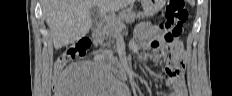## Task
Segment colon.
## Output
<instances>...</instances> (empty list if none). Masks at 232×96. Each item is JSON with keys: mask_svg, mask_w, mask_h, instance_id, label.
<instances>
[{"mask_svg": "<svg viewBox=\"0 0 232 96\" xmlns=\"http://www.w3.org/2000/svg\"><path fill=\"white\" fill-rule=\"evenodd\" d=\"M188 19V11L184 0H168L164 10V18L157 24L159 38L154 40L153 48L161 47V54L168 59H174L176 54L175 42L182 32V26ZM90 41L86 38L68 46L59 55L55 63V71L60 70L67 61L75 58L89 57ZM143 61V58H140Z\"/></svg>", "mask_w": 232, "mask_h": 96, "instance_id": "obj_1", "label": "colon"}]
</instances>
